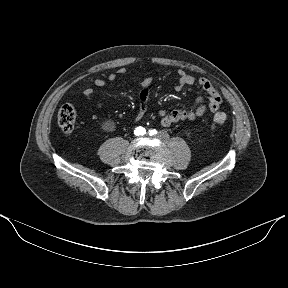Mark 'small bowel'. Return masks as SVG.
Returning a JSON list of instances; mask_svg holds the SVG:
<instances>
[{"label":"small bowel","mask_w":288,"mask_h":288,"mask_svg":"<svg viewBox=\"0 0 288 288\" xmlns=\"http://www.w3.org/2000/svg\"><path fill=\"white\" fill-rule=\"evenodd\" d=\"M126 75L125 69H119L116 72H112L108 75V80L110 82H114L118 76ZM178 81L175 85V89L177 91L182 90L185 86L197 84L200 88H202L208 95V103H203V98L199 97L196 100V106L192 109H177L170 112L165 110H160L158 115L160 119V123L162 126H170L174 123L180 121H194L204 116L207 111L217 112L221 103L222 97L219 91L215 88V86L206 78H196L192 74L186 72L183 69L178 70ZM151 82V77H146L141 82V91L139 95V106L137 113L135 115L134 121H139L143 118L146 112V103L148 99L149 89L148 86ZM106 81L102 78H97L94 80V85L96 87H105ZM84 96L86 99L95 107L101 108L102 104L95 99L94 89L92 87H88L84 90Z\"/></svg>","instance_id":"obj_1"}]
</instances>
